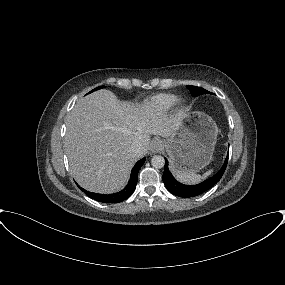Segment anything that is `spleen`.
<instances>
[{"label": "spleen", "mask_w": 285, "mask_h": 285, "mask_svg": "<svg viewBox=\"0 0 285 285\" xmlns=\"http://www.w3.org/2000/svg\"><path fill=\"white\" fill-rule=\"evenodd\" d=\"M212 173V170L207 171L204 175H199L195 173H177L176 177L179 181L186 184H195L200 182L202 179L206 178Z\"/></svg>", "instance_id": "spleen-1"}]
</instances>
